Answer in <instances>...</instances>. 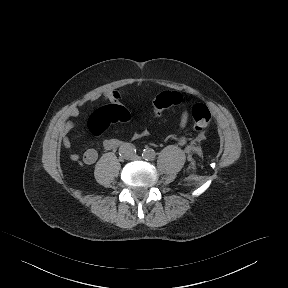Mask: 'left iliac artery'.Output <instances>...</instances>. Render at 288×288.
<instances>
[{
	"label": "left iliac artery",
	"mask_w": 288,
	"mask_h": 288,
	"mask_svg": "<svg viewBox=\"0 0 288 288\" xmlns=\"http://www.w3.org/2000/svg\"><path fill=\"white\" fill-rule=\"evenodd\" d=\"M142 156L145 160L152 161V160H154L156 154H155V151L153 149L146 148L143 150Z\"/></svg>",
	"instance_id": "1"
}]
</instances>
